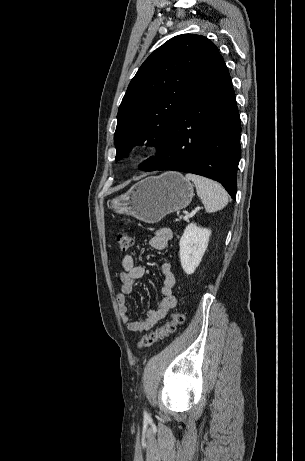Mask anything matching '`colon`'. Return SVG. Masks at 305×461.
Returning <instances> with one entry per match:
<instances>
[{"label":"colon","mask_w":305,"mask_h":461,"mask_svg":"<svg viewBox=\"0 0 305 461\" xmlns=\"http://www.w3.org/2000/svg\"><path fill=\"white\" fill-rule=\"evenodd\" d=\"M116 241L120 250H127L133 243L132 236L126 231H120L116 234ZM184 316L181 312H174L168 320L161 327L152 331L151 333L143 336L137 343L138 348H147L152 346L155 342L164 339L172 334L176 327L182 324Z\"/></svg>","instance_id":"obj_1"}]
</instances>
